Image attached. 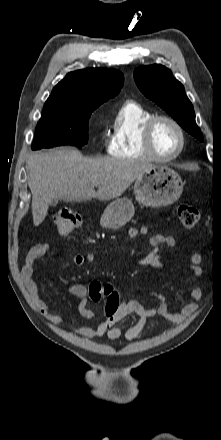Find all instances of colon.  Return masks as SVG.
Wrapping results in <instances>:
<instances>
[{
    "label": "colon",
    "mask_w": 221,
    "mask_h": 440,
    "mask_svg": "<svg viewBox=\"0 0 221 440\" xmlns=\"http://www.w3.org/2000/svg\"><path fill=\"white\" fill-rule=\"evenodd\" d=\"M177 217L185 228H193L199 222V211L191 205H180L177 208ZM81 216L78 212L70 208L59 209L54 216V223L61 236H67L81 225ZM89 300L99 302L104 298V305L101 309L102 320L112 321L114 315L119 312L118 306L121 305V298L117 291L109 284H102L99 281L90 283Z\"/></svg>",
    "instance_id": "5ec220e1"
}]
</instances>
